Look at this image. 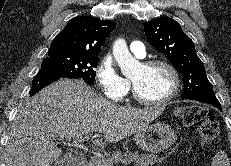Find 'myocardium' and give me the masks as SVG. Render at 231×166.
I'll use <instances>...</instances> for the list:
<instances>
[{
    "label": "myocardium",
    "mask_w": 231,
    "mask_h": 166,
    "mask_svg": "<svg viewBox=\"0 0 231 166\" xmlns=\"http://www.w3.org/2000/svg\"><path fill=\"white\" fill-rule=\"evenodd\" d=\"M141 65L145 68H151L154 66H162L165 69H167L172 77V88L170 92L166 95V97L159 99V100H148L140 96V94L138 93L136 89L134 82L131 80L133 97L139 103L146 105V106H163L171 102L177 95L180 89V84H181L180 75L176 67L168 60L161 59V58L143 61Z\"/></svg>",
    "instance_id": "myocardium-1"
}]
</instances>
